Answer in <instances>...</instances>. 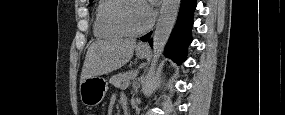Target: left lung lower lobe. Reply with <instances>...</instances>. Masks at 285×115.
I'll return each mask as SVG.
<instances>
[{
    "label": "left lung lower lobe",
    "instance_id": "left-lung-lower-lobe-1",
    "mask_svg": "<svg viewBox=\"0 0 285 115\" xmlns=\"http://www.w3.org/2000/svg\"><path fill=\"white\" fill-rule=\"evenodd\" d=\"M196 5V0H181L178 19L165 48V55L174 60L178 65L186 60L187 48L192 41L191 28L193 26V12ZM151 34L152 32L140 39L148 41L152 45Z\"/></svg>",
    "mask_w": 285,
    "mask_h": 115
}]
</instances>
